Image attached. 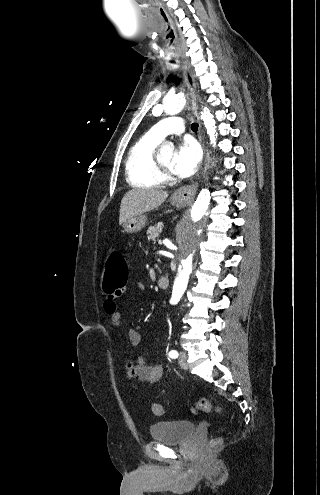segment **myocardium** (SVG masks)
I'll return each mask as SVG.
<instances>
[{"mask_svg": "<svg viewBox=\"0 0 320 495\" xmlns=\"http://www.w3.org/2000/svg\"><path fill=\"white\" fill-rule=\"evenodd\" d=\"M155 164L160 175H167L169 173V168L166 167L161 159L159 153H155Z\"/></svg>", "mask_w": 320, "mask_h": 495, "instance_id": "myocardium-1", "label": "myocardium"}]
</instances>
